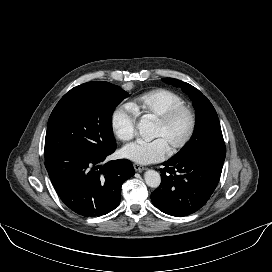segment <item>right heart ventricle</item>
<instances>
[{
    "label": "right heart ventricle",
    "instance_id": "1",
    "mask_svg": "<svg viewBox=\"0 0 272 272\" xmlns=\"http://www.w3.org/2000/svg\"><path fill=\"white\" fill-rule=\"evenodd\" d=\"M180 105H184V100L178 94L165 88L147 91L130 104L137 116L155 119L170 108Z\"/></svg>",
    "mask_w": 272,
    "mask_h": 272
}]
</instances>
